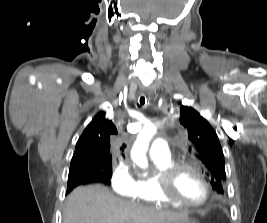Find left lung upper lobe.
Listing matches in <instances>:
<instances>
[{
	"instance_id": "1",
	"label": "left lung upper lobe",
	"mask_w": 267,
	"mask_h": 223,
	"mask_svg": "<svg viewBox=\"0 0 267 223\" xmlns=\"http://www.w3.org/2000/svg\"><path fill=\"white\" fill-rule=\"evenodd\" d=\"M180 123L187 130L188 140L193 144L196 156L206 169L212 188L223 193L225 163L216 132L206 119L189 106H181Z\"/></svg>"
}]
</instances>
